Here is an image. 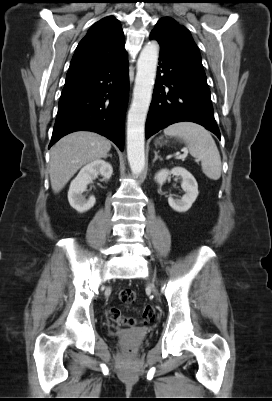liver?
Listing matches in <instances>:
<instances>
[{"label": "liver", "instance_id": "obj_1", "mask_svg": "<svg viewBox=\"0 0 272 401\" xmlns=\"http://www.w3.org/2000/svg\"><path fill=\"white\" fill-rule=\"evenodd\" d=\"M111 142L90 131H77L61 138L50 151V181L59 193L85 164L106 158Z\"/></svg>", "mask_w": 272, "mask_h": 401}]
</instances>
